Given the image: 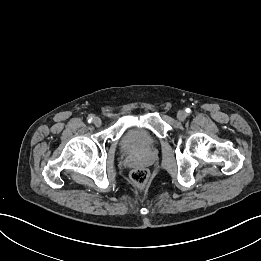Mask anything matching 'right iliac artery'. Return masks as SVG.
Instances as JSON below:
<instances>
[{
    "label": "right iliac artery",
    "instance_id": "82829eb1",
    "mask_svg": "<svg viewBox=\"0 0 261 261\" xmlns=\"http://www.w3.org/2000/svg\"><path fill=\"white\" fill-rule=\"evenodd\" d=\"M92 120H93V117H92V116H89V117H88V122L91 123Z\"/></svg>",
    "mask_w": 261,
    "mask_h": 261
}]
</instances>
